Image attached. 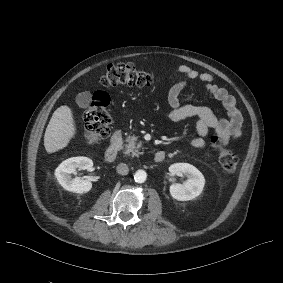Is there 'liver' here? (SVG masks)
<instances>
[{
    "label": "liver",
    "mask_w": 283,
    "mask_h": 283,
    "mask_svg": "<svg viewBox=\"0 0 283 283\" xmlns=\"http://www.w3.org/2000/svg\"><path fill=\"white\" fill-rule=\"evenodd\" d=\"M78 128L73 109L68 105L57 108L44 134V148L51 155L68 147L77 136Z\"/></svg>",
    "instance_id": "liver-1"
}]
</instances>
